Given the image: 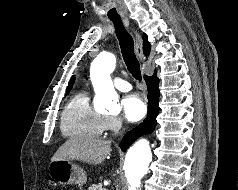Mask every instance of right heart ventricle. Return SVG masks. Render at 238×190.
<instances>
[{
    "instance_id": "obj_1",
    "label": "right heart ventricle",
    "mask_w": 238,
    "mask_h": 190,
    "mask_svg": "<svg viewBox=\"0 0 238 190\" xmlns=\"http://www.w3.org/2000/svg\"><path fill=\"white\" fill-rule=\"evenodd\" d=\"M106 130V116L98 113L90 104L86 92L72 96L61 116V131L69 137H99Z\"/></svg>"
}]
</instances>
